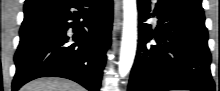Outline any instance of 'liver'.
Returning a JSON list of instances; mask_svg holds the SVG:
<instances>
[{
    "label": "liver",
    "mask_w": 220,
    "mask_h": 91,
    "mask_svg": "<svg viewBox=\"0 0 220 91\" xmlns=\"http://www.w3.org/2000/svg\"><path fill=\"white\" fill-rule=\"evenodd\" d=\"M20 91H84V89L70 80L40 78L27 83Z\"/></svg>",
    "instance_id": "obj_1"
}]
</instances>
